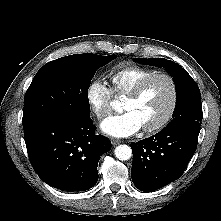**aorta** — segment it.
<instances>
[{
    "instance_id": "obj_1",
    "label": "aorta",
    "mask_w": 221,
    "mask_h": 221,
    "mask_svg": "<svg viewBox=\"0 0 221 221\" xmlns=\"http://www.w3.org/2000/svg\"><path fill=\"white\" fill-rule=\"evenodd\" d=\"M114 152L115 156L121 161L128 160L132 156V149L128 145H119Z\"/></svg>"
}]
</instances>
